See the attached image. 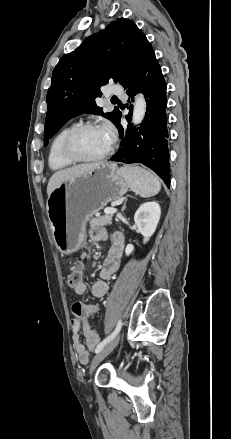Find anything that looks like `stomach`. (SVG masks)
Segmentation results:
<instances>
[{
    "label": "stomach",
    "instance_id": "1",
    "mask_svg": "<svg viewBox=\"0 0 231 439\" xmlns=\"http://www.w3.org/2000/svg\"><path fill=\"white\" fill-rule=\"evenodd\" d=\"M128 188L113 163H102L61 183L46 205L56 248L62 254L78 251L85 238L87 221L109 202L121 198Z\"/></svg>",
    "mask_w": 231,
    "mask_h": 439
}]
</instances>
